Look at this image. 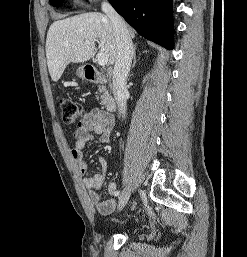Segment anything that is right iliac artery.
I'll use <instances>...</instances> for the list:
<instances>
[{
  "label": "right iliac artery",
  "instance_id": "1",
  "mask_svg": "<svg viewBox=\"0 0 247 257\" xmlns=\"http://www.w3.org/2000/svg\"><path fill=\"white\" fill-rule=\"evenodd\" d=\"M119 194H120V192L118 191L116 195L118 196Z\"/></svg>",
  "mask_w": 247,
  "mask_h": 257
}]
</instances>
